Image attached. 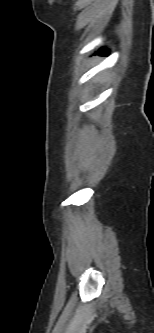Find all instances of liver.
Listing matches in <instances>:
<instances>
[{"instance_id":"liver-1","label":"liver","mask_w":154,"mask_h":333,"mask_svg":"<svg viewBox=\"0 0 154 333\" xmlns=\"http://www.w3.org/2000/svg\"><path fill=\"white\" fill-rule=\"evenodd\" d=\"M103 78H106V74H105V75H103Z\"/></svg>"}]
</instances>
